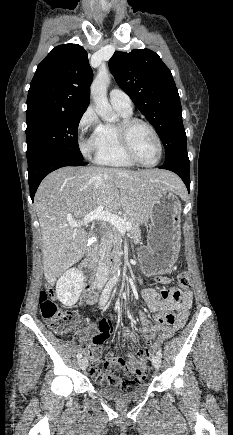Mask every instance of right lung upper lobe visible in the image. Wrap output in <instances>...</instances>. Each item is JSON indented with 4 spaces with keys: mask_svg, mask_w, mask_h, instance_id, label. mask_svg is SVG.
Returning <instances> with one entry per match:
<instances>
[{
    "mask_svg": "<svg viewBox=\"0 0 233 435\" xmlns=\"http://www.w3.org/2000/svg\"><path fill=\"white\" fill-rule=\"evenodd\" d=\"M93 79L87 52L78 44L55 47L38 65L27 97L26 115L85 112Z\"/></svg>",
    "mask_w": 233,
    "mask_h": 435,
    "instance_id": "1",
    "label": "right lung upper lobe"
}]
</instances>
